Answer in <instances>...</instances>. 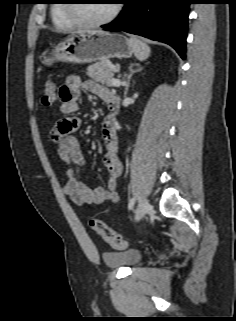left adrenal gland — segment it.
Instances as JSON below:
<instances>
[{
    "label": "left adrenal gland",
    "mask_w": 236,
    "mask_h": 321,
    "mask_svg": "<svg viewBox=\"0 0 236 321\" xmlns=\"http://www.w3.org/2000/svg\"><path fill=\"white\" fill-rule=\"evenodd\" d=\"M134 66H137V69H134ZM141 70H142V67H140L139 64H133V63L130 64V66H129V75L127 76V82H126V85H125L124 95H126L127 92H128V88L130 86V81H131V78H132L133 74L137 73V72H140Z\"/></svg>",
    "instance_id": "obj_1"
}]
</instances>
